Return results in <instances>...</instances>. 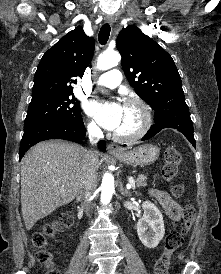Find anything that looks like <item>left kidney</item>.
Returning <instances> with one entry per match:
<instances>
[{
    "instance_id": "1",
    "label": "left kidney",
    "mask_w": 221,
    "mask_h": 274,
    "mask_svg": "<svg viewBox=\"0 0 221 274\" xmlns=\"http://www.w3.org/2000/svg\"><path fill=\"white\" fill-rule=\"evenodd\" d=\"M143 216L137 223V234L143 245L149 249L158 246L165 234L163 216L150 201L142 203Z\"/></svg>"
}]
</instances>
